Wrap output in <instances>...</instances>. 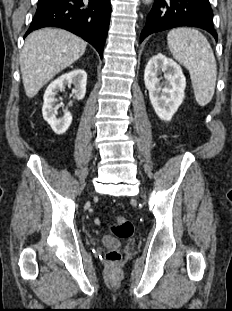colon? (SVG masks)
Returning a JSON list of instances; mask_svg holds the SVG:
<instances>
[{
  "instance_id": "5ec220e1",
  "label": "colon",
  "mask_w": 232,
  "mask_h": 311,
  "mask_svg": "<svg viewBox=\"0 0 232 311\" xmlns=\"http://www.w3.org/2000/svg\"><path fill=\"white\" fill-rule=\"evenodd\" d=\"M111 232L118 238H129L133 234L132 222L124 217H116L110 225ZM106 260L109 265L116 266L121 261V253L118 250H110L106 253Z\"/></svg>"
}]
</instances>
